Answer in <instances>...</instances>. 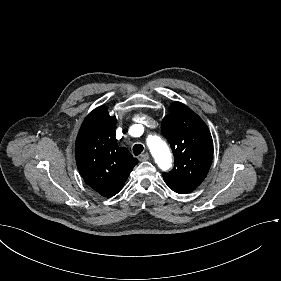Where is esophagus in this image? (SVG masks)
I'll return each mask as SVG.
<instances>
[{"label": "esophagus", "mask_w": 281, "mask_h": 281, "mask_svg": "<svg viewBox=\"0 0 281 281\" xmlns=\"http://www.w3.org/2000/svg\"><path fill=\"white\" fill-rule=\"evenodd\" d=\"M149 154L148 153H144L139 157L140 161H147L149 159Z\"/></svg>", "instance_id": "obj_1"}]
</instances>
